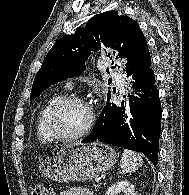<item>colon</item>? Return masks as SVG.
Wrapping results in <instances>:
<instances>
[{
    "instance_id": "colon-1",
    "label": "colon",
    "mask_w": 189,
    "mask_h": 195,
    "mask_svg": "<svg viewBox=\"0 0 189 195\" xmlns=\"http://www.w3.org/2000/svg\"><path fill=\"white\" fill-rule=\"evenodd\" d=\"M31 195H50V192L43 186L33 188Z\"/></svg>"
}]
</instances>
